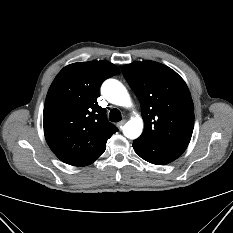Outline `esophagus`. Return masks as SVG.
I'll return each instance as SVG.
<instances>
[{"label":"esophagus","instance_id":"obj_1","mask_svg":"<svg viewBox=\"0 0 233 233\" xmlns=\"http://www.w3.org/2000/svg\"><path fill=\"white\" fill-rule=\"evenodd\" d=\"M125 123H126V120H122V121H120V122L117 123V126H118L119 128H122V126H123Z\"/></svg>","mask_w":233,"mask_h":233}]
</instances>
